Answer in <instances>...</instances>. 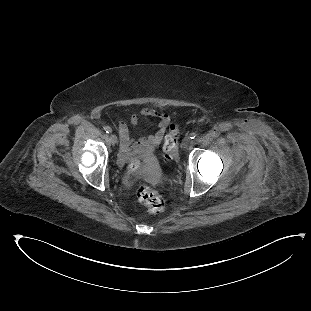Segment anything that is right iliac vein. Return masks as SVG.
I'll return each mask as SVG.
<instances>
[{"instance_id":"right-iliac-vein-1","label":"right iliac vein","mask_w":311,"mask_h":311,"mask_svg":"<svg viewBox=\"0 0 311 311\" xmlns=\"http://www.w3.org/2000/svg\"><path fill=\"white\" fill-rule=\"evenodd\" d=\"M109 139L112 144L117 142V136L115 134H110Z\"/></svg>"}]
</instances>
